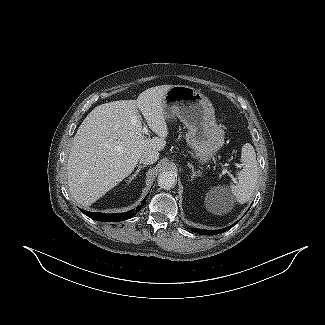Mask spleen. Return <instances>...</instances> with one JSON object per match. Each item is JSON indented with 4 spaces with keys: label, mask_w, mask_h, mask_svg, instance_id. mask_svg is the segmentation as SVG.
I'll return each instance as SVG.
<instances>
[{
    "label": "spleen",
    "mask_w": 325,
    "mask_h": 325,
    "mask_svg": "<svg viewBox=\"0 0 325 325\" xmlns=\"http://www.w3.org/2000/svg\"><path fill=\"white\" fill-rule=\"evenodd\" d=\"M241 161L243 169L238 172V183L231 185V191L238 203L243 204L252 197L258 180L256 153L249 143L242 147Z\"/></svg>",
    "instance_id": "3e777b00"
}]
</instances>
